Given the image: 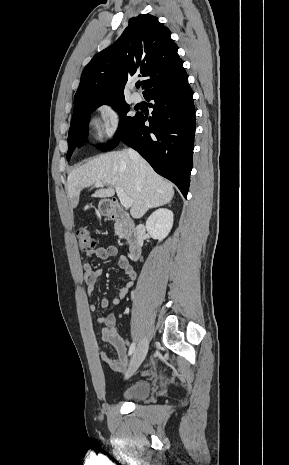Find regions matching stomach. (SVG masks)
<instances>
[{
    "instance_id": "obj_1",
    "label": "stomach",
    "mask_w": 289,
    "mask_h": 465,
    "mask_svg": "<svg viewBox=\"0 0 289 465\" xmlns=\"http://www.w3.org/2000/svg\"><path fill=\"white\" fill-rule=\"evenodd\" d=\"M98 209L101 214H107L110 212L107 200H101L98 204Z\"/></svg>"
}]
</instances>
